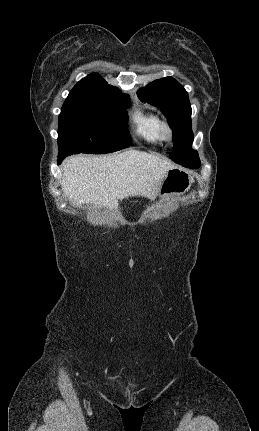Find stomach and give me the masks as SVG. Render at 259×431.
I'll return each instance as SVG.
<instances>
[{"mask_svg":"<svg viewBox=\"0 0 259 431\" xmlns=\"http://www.w3.org/2000/svg\"><path fill=\"white\" fill-rule=\"evenodd\" d=\"M192 182L193 178L184 169L178 167L170 169L158 189L157 196L160 198L180 196L190 189Z\"/></svg>","mask_w":259,"mask_h":431,"instance_id":"stomach-1","label":"stomach"}]
</instances>
